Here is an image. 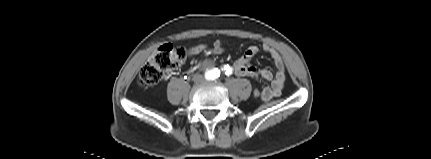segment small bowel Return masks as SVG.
<instances>
[{"instance_id": "1", "label": "small bowel", "mask_w": 431, "mask_h": 159, "mask_svg": "<svg viewBox=\"0 0 431 159\" xmlns=\"http://www.w3.org/2000/svg\"><path fill=\"white\" fill-rule=\"evenodd\" d=\"M211 48H224L223 42L216 40L209 47L206 44H199L193 46L189 49L190 55H198L205 51H211ZM264 52L268 53L276 67V72L273 73L269 69H260L252 66L250 64L251 60L259 52L257 46H249L246 48L244 53L240 58H238L233 65L229 66L231 72L238 76H249L254 78L264 79L270 82V86H267L262 90V95L259 97L263 101H269L275 97H278L284 87L285 83V66L281 55L276 51V49L270 44H264L262 46Z\"/></svg>"}]
</instances>
